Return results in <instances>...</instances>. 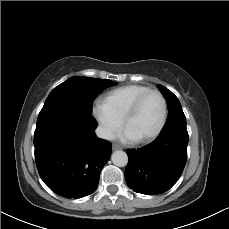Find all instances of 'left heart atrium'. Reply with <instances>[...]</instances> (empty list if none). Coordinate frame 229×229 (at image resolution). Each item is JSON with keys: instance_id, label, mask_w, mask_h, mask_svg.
Listing matches in <instances>:
<instances>
[{"instance_id": "1", "label": "left heart atrium", "mask_w": 229, "mask_h": 229, "mask_svg": "<svg viewBox=\"0 0 229 229\" xmlns=\"http://www.w3.org/2000/svg\"><path fill=\"white\" fill-rule=\"evenodd\" d=\"M120 137L122 138L123 141H126V142H132L133 138H131L125 131L120 135Z\"/></svg>"}]
</instances>
